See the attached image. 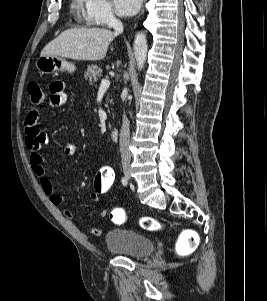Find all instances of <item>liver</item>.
<instances>
[{
    "label": "liver",
    "instance_id": "liver-1",
    "mask_svg": "<svg viewBox=\"0 0 267 301\" xmlns=\"http://www.w3.org/2000/svg\"><path fill=\"white\" fill-rule=\"evenodd\" d=\"M115 37V33L104 28L68 29L48 43L40 56L88 61L101 60L106 56L108 46Z\"/></svg>",
    "mask_w": 267,
    "mask_h": 301
}]
</instances>
